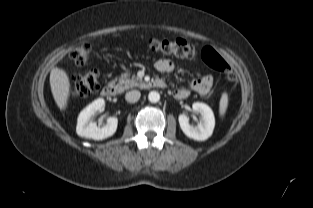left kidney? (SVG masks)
Masks as SVG:
<instances>
[{
  "mask_svg": "<svg viewBox=\"0 0 313 208\" xmlns=\"http://www.w3.org/2000/svg\"><path fill=\"white\" fill-rule=\"evenodd\" d=\"M193 111L201 115L200 122L197 126L189 124V119L185 114H180L178 117L180 127L183 133L194 140L204 141L208 139L215 126V118L211 108L201 102H195L192 105Z\"/></svg>",
  "mask_w": 313,
  "mask_h": 208,
  "instance_id": "left-kidney-1",
  "label": "left kidney"
}]
</instances>
